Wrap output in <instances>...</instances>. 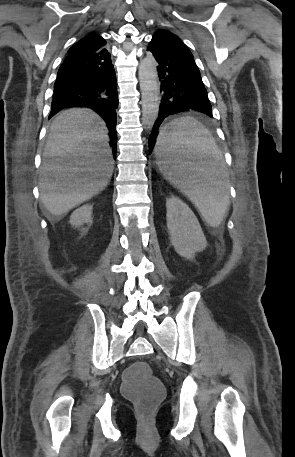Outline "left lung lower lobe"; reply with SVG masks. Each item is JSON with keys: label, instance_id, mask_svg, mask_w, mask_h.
Wrapping results in <instances>:
<instances>
[{"label": "left lung lower lobe", "instance_id": "0a47b994", "mask_svg": "<svg viewBox=\"0 0 295 457\" xmlns=\"http://www.w3.org/2000/svg\"><path fill=\"white\" fill-rule=\"evenodd\" d=\"M147 51L158 63L157 71L163 96L157 121L149 138L152 151L159 136V126L169 115L198 111L212 116V107L194 59L179 50L153 39Z\"/></svg>", "mask_w": 295, "mask_h": 457}]
</instances>
